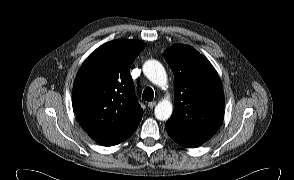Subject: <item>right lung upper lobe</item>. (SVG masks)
Listing matches in <instances>:
<instances>
[{
    "mask_svg": "<svg viewBox=\"0 0 294 180\" xmlns=\"http://www.w3.org/2000/svg\"><path fill=\"white\" fill-rule=\"evenodd\" d=\"M144 47L139 40H113L82 64L73 85V108L81 127L96 142L116 137L142 118L130 67Z\"/></svg>",
    "mask_w": 294,
    "mask_h": 180,
    "instance_id": "right-lung-upper-lobe-1",
    "label": "right lung upper lobe"
}]
</instances>
